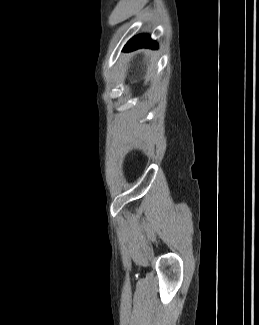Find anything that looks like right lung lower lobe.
I'll return each mask as SVG.
<instances>
[{"mask_svg": "<svg viewBox=\"0 0 259 325\" xmlns=\"http://www.w3.org/2000/svg\"><path fill=\"white\" fill-rule=\"evenodd\" d=\"M149 47V48H157V43L151 40L150 36L147 34L138 35L132 38L124 47V51H133L139 48Z\"/></svg>", "mask_w": 259, "mask_h": 325, "instance_id": "98d812e1", "label": "right lung lower lobe"}]
</instances>
